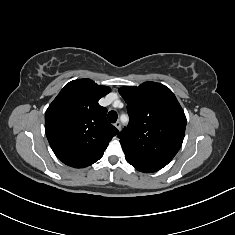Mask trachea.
<instances>
[{"mask_svg":"<svg viewBox=\"0 0 235 235\" xmlns=\"http://www.w3.org/2000/svg\"><path fill=\"white\" fill-rule=\"evenodd\" d=\"M107 117L111 123H115L117 121L118 115L115 111H110Z\"/></svg>","mask_w":235,"mask_h":235,"instance_id":"1","label":"trachea"}]
</instances>
